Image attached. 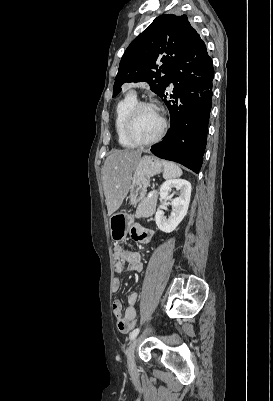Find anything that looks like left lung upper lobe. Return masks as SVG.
Returning <instances> with one entry per match:
<instances>
[{
  "label": "left lung upper lobe",
  "mask_w": 273,
  "mask_h": 401,
  "mask_svg": "<svg viewBox=\"0 0 273 401\" xmlns=\"http://www.w3.org/2000/svg\"><path fill=\"white\" fill-rule=\"evenodd\" d=\"M200 38L186 15L165 14L157 17L128 46L115 77L113 97L126 82L145 81L150 89L162 96L172 70L180 57ZM159 57L163 63L156 65ZM161 73L165 74L162 75Z\"/></svg>",
  "instance_id": "obj_1"
}]
</instances>
